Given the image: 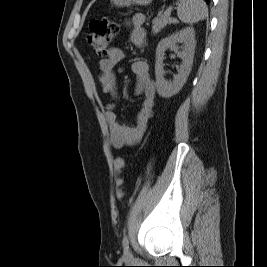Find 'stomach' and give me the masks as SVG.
<instances>
[{
	"instance_id": "stomach-1",
	"label": "stomach",
	"mask_w": 267,
	"mask_h": 267,
	"mask_svg": "<svg viewBox=\"0 0 267 267\" xmlns=\"http://www.w3.org/2000/svg\"><path fill=\"white\" fill-rule=\"evenodd\" d=\"M153 0H111L113 5L118 7H128L131 5H149Z\"/></svg>"
}]
</instances>
